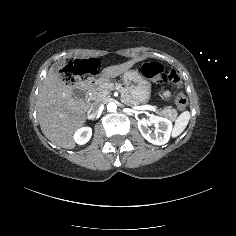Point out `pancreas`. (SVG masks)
<instances>
[{"label":"pancreas","instance_id":"obj_1","mask_svg":"<svg viewBox=\"0 0 236 236\" xmlns=\"http://www.w3.org/2000/svg\"><path fill=\"white\" fill-rule=\"evenodd\" d=\"M113 89H117L121 94V102L125 105L132 106L138 105V103L131 97L129 92L120 84L113 82H105L97 86L90 88L89 92L91 93L90 100L92 102L98 103L108 98V95ZM158 115L165 117L170 120H175L177 116V110L172 109H163L158 111Z\"/></svg>","mask_w":236,"mask_h":236}]
</instances>
